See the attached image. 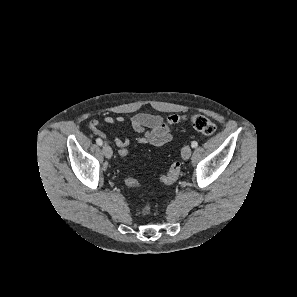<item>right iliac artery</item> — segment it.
Instances as JSON below:
<instances>
[{
	"label": "right iliac artery",
	"instance_id": "right-iliac-artery-1",
	"mask_svg": "<svg viewBox=\"0 0 297 297\" xmlns=\"http://www.w3.org/2000/svg\"><path fill=\"white\" fill-rule=\"evenodd\" d=\"M96 143L101 146L103 144V141L100 138L96 139Z\"/></svg>",
	"mask_w": 297,
	"mask_h": 297
}]
</instances>
